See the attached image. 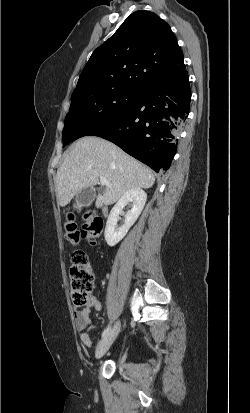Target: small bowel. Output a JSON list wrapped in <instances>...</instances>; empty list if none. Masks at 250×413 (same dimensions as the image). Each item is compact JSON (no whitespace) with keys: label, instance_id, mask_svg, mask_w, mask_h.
Masks as SVG:
<instances>
[{"label":"small bowel","instance_id":"obj_1","mask_svg":"<svg viewBox=\"0 0 250 413\" xmlns=\"http://www.w3.org/2000/svg\"><path fill=\"white\" fill-rule=\"evenodd\" d=\"M93 310L96 312L101 310V304L95 295H92L89 306L77 310L74 314L75 325L77 330L80 332V340L86 347L92 346L90 331L94 329V324L90 315Z\"/></svg>","mask_w":250,"mask_h":413}]
</instances>
